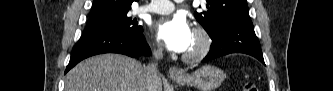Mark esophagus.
<instances>
[{
  "instance_id": "34e87169",
  "label": "esophagus",
  "mask_w": 333,
  "mask_h": 91,
  "mask_svg": "<svg viewBox=\"0 0 333 91\" xmlns=\"http://www.w3.org/2000/svg\"><path fill=\"white\" fill-rule=\"evenodd\" d=\"M169 74L172 78H178L184 75L183 71L175 66L170 67Z\"/></svg>"
}]
</instances>
